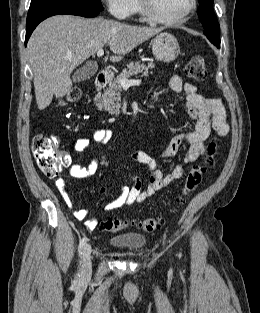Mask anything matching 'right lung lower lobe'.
<instances>
[{"label":"right lung lower lobe","instance_id":"98d812e1","mask_svg":"<svg viewBox=\"0 0 260 313\" xmlns=\"http://www.w3.org/2000/svg\"><path fill=\"white\" fill-rule=\"evenodd\" d=\"M99 12L100 10L97 9L72 4L41 3L30 5L26 22L25 44H27V41L36 26L50 16L67 14L91 18L97 16Z\"/></svg>","mask_w":260,"mask_h":313}]
</instances>
